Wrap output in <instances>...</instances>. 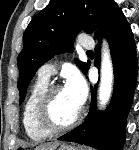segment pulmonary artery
<instances>
[{"mask_svg":"<svg viewBox=\"0 0 139 150\" xmlns=\"http://www.w3.org/2000/svg\"><path fill=\"white\" fill-rule=\"evenodd\" d=\"M81 48L85 50H92L94 48V41L90 37H83L80 40ZM55 71V66L53 64H44L38 71V76L49 80Z\"/></svg>","mask_w":139,"mask_h":150,"instance_id":"1","label":"pulmonary artery"}]
</instances>
